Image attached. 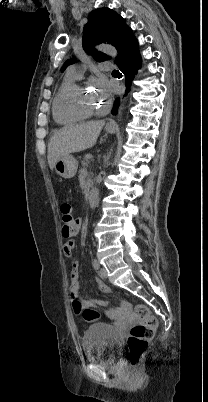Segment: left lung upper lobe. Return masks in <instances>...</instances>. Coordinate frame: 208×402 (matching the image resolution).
Returning a JSON list of instances; mask_svg holds the SVG:
<instances>
[{
  "label": "left lung upper lobe",
  "mask_w": 208,
  "mask_h": 402,
  "mask_svg": "<svg viewBox=\"0 0 208 402\" xmlns=\"http://www.w3.org/2000/svg\"><path fill=\"white\" fill-rule=\"evenodd\" d=\"M129 29L124 19L112 9H96L89 14L88 23L83 30V48L99 62L108 60L110 57L96 51L94 44L109 43L114 45L119 52ZM73 63V59L67 60L61 71H64L68 65Z\"/></svg>",
  "instance_id": "5c2ea615"
}]
</instances>
